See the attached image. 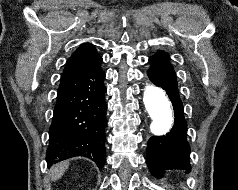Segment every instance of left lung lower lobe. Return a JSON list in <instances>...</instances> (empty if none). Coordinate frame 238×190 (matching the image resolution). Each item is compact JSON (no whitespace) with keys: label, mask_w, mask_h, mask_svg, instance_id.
<instances>
[{"label":"left lung lower lobe","mask_w":238,"mask_h":190,"mask_svg":"<svg viewBox=\"0 0 238 190\" xmlns=\"http://www.w3.org/2000/svg\"><path fill=\"white\" fill-rule=\"evenodd\" d=\"M149 63L151 66L147 75L153 84L166 91L173 105L175 119L172 129L166 135L153 136L149 139L146 155L148 167L157 177L171 168L190 171L187 123L170 56L163 51H158L149 58Z\"/></svg>","instance_id":"1"}]
</instances>
